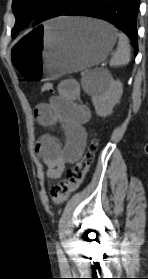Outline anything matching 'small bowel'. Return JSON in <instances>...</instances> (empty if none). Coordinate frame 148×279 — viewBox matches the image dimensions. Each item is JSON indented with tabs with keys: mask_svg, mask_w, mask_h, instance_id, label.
<instances>
[{
	"mask_svg": "<svg viewBox=\"0 0 148 279\" xmlns=\"http://www.w3.org/2000/svg\"><path fill=\"white\" fill-rule=\"evenodd\" d=\"M79 97V84L68 79L58 85L57 95L35 107V117L40 125L60 124L65 134L63 145L51 134L40 136L36 142V153L47 167L45 175L49 180L61 178L67 164L77 160L84 149V125L91 113L88 107L77 102Z\"/></svg>",
	"mask_w": 148,
	"mask_h": 279,
	"instance_id": "obj_1",
	"label": "small bowel"
}]
</instances>
